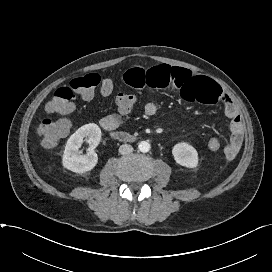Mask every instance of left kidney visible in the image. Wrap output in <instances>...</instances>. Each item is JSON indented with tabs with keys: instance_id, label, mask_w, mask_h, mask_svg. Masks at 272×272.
<instances>
[{
	"instance_id": "obj_1",
	"label": "left kidney",
	"mask_w": 272,
	"mask_h": 272,
	"mask_svg": "<svg viewBox=\"0 0 272 272\" xmlns=\"http://www.w3.org/2000/svg\"><path fill=\"white\" fill-rule=\"evenodd\" d=\"M175 161L184 167L195 168L198 165V153L196 149L185 142L177 143L172 149Z\"/></svg>"
}]
</instances>
